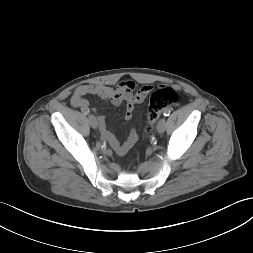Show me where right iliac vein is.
<instances>
[{
    "label": "right iliac vein",
    "mask_w": 253,
    "mask_h": 253,
    "mask_svg": "<svg viewBox=\"0 0 253 253\" xmlns=\"http://www.w3.org/2000/svg\"><path fill=\"white\" fill-rule=\"evenodd\" d=\"M89 122L92 128L96 129L98 127V121L94 115H89Z\"/></svg>",
    "instance_id": "63e3f726"
}]
</instances>
